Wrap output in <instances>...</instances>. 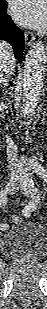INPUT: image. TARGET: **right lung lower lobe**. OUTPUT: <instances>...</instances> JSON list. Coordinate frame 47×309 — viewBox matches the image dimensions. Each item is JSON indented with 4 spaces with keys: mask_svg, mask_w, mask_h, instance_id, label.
Segmentation results:
<instances>
[{
    "mask_svg": "<svg viewBox=\"0 0 47 309\" xmlns=\"http://www.w3.org/2000/svg\"><path fill=\"white\" fill-rule=\"evenodd\" d=\"M7 2H0V39L8 41L14 50L15 57L21 61L24 49V34L13 23L11 17L6 13Z\"/></svg>",
    "mask_w": 47,
    "mask_h": 309,
    "instance_id": "right-lung-lower-lobe-1",
    "label": "right lung lower lobe"
}]
</instances>
